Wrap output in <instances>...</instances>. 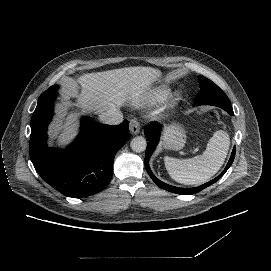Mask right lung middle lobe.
I'll return each mask as SVG.
<instances>
[{"label":"right lung middle lobe","instance_id":"right-lung-middle-lobe-1","mask_svg":"<svg viewBox=\"0 0 271 271\" xmlns=\"http://www.w3.org/2000/svg\"><path fill=\"white\" fill-rule=\"evenodd\" d=\"M57 89H58V86L57 85H53L48 90H46V92L42 93V96L48 95L50 92L57 91Z\"/></svg>","mask_w":271,"mask_h":271}]
</instances>
